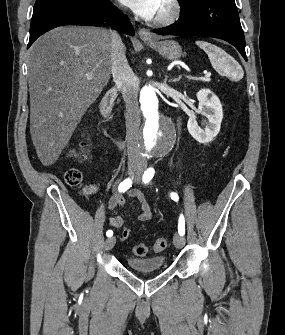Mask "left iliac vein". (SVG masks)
I'll return each instance as SVG.
<instances>
[{
    "label": "left iliac vein",
    "mask_w": 285,
    "mask_h": 335,
    "mask_svg": "<svg viewBox=\"0 0 285 335\" xmlns=\"http://www.w3.org/2000/svg\"><path fill=\"white\" fill-rule=\"evenodd\" d=\"M139 179H140V172H138V174L134 178V181L136 183H139ZM173 241H174L175 247H177V248L184 247V245L186 243L185 238L180 234H175L174 237H173Z\"/></svg>",
    "instance_id": "4c4485c4"
}]
</instances>
